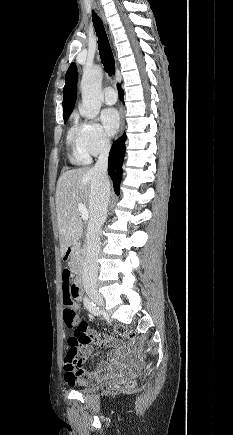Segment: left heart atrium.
<instances>
[{
	"label": "left heart atrium",
	"instance_id": "39dd6f15",
	"mask_svg": "<svg viewBox=\"0 0 233 435\" xmlns=\"http://www.w3.org/2000/svg\"><path fill=\"white\" fill-rule=\"evenodd\" d=\"M103 127L108 135H114L120 125V116L116 109L106 108L100 114Z\"/></svg>",
	"mask_w": 233,
	"mask_h": 435
}]
</instances>
